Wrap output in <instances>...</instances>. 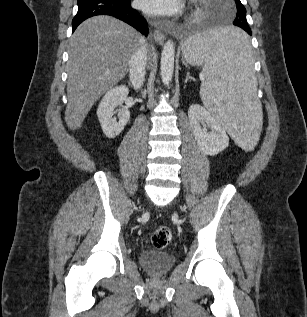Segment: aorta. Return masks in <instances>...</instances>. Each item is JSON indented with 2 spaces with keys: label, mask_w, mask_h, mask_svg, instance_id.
<instances>
[{
  "label": "aorta",
  "mask_w": 307,
  "mask_h": 317,
  "mask_svg": "<svg viewBox=\"0 0 307 317\" xmlns=\"http://www.w3.org/2000/svg\"><path fill=\"white\" fill-rule=\"evenodd\" d=\"M174 58H175V47L171 40H168L161 53L160 69L161 79L165 86H169L174 71Z\"/></svg>",
  "instance_id": "762f6f07"
}]
</instances>
